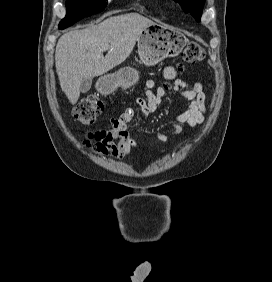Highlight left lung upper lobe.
Listing matches in <instances>:
<instances>
[{
    "label": "left lung upper lobe",
    "mask_w": 272,
    "mask_h": 282,
    "mask_svg": "<svg viewBox=\"0 0 272 282\" xmlns=\"http://www.w3.org/2000/svg\"><path fill=\"white\" fill-rule=\"evenodd\" d=\"M174 1L178 2L182 6L184 12L186 13L190 12L191 15L197 21H200L205 0H174Z\"/></svg>",
    "instance_id": "left-lung-upper-lobe-1"
}]
</instances>
